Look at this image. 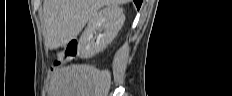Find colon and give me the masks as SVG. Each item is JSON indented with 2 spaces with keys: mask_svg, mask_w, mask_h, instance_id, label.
<instances>
[{
  "mask_svg": "<svg viewBox=\"0 0 232 96\" xmlns=\"http://www.w3.org/2000/svg\"><path fill=\"white\" fill-rule=\"evenodd\" d=\"M77 54V42L70 41L66 44L64 49L58 53L56 63L58 65L63 64L67 61L73 60Z\"/></svg>",
  "mask_w": 232,
  "mask_h": 96,
  "instance_id": "colon-1",
  "label": "colon"
}]
</instances>
